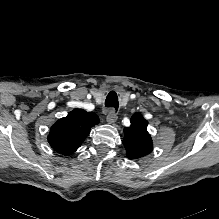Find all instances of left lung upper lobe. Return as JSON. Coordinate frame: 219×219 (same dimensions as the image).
<instances>
[{"mask_svg": "<svg viewBox=\"0 0 219 219\" xmlns=\"http://www.w3.org/2000/svg\"><path fill=\"white\" fill-rule=\"evenodd\" d=\"M148 122L140 113L131 117V126L124 129L123 144L130 159H139L152 152L153 143L147 132Z\"/></svg>", "mask_w": 219, "mask_h": 219, "instance_id": "obj_1", "label": "left lung upper lobe"}]
</instances>
